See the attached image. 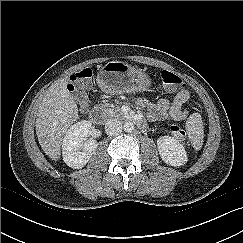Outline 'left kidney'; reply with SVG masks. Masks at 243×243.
Listing matches in <instances>:
<instances>
[{
    "label": "left kidney",
    "instance_id": "left-kidney-1",
    "mask_svg": "<svg viewBox=\"0 0 243 243\" xmlns=\"http://www.w3.org/2000/svg\"><path fill=\"white\" fill-rule=\"evenodd\" d=\"M157 146L159 154L165 163L174 167L183 166L187 163L188 157L184 146L173 137H159Z\"/></svg>",
    "mask_w": 243,
    "mask_h": 243
}]
</instances>
